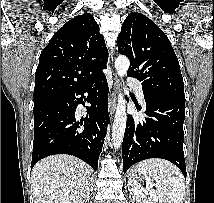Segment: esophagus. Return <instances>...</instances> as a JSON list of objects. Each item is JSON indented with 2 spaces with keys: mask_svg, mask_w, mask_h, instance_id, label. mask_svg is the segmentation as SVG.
<instances>
[{
  "mask_svg": "<svg viewBox=\"0 0 214 203\" xmlns=\"http://www.w3.org/2000/svg\"><path fill=\"white\" fill-rule=\"evenodd\" d=\"M119 88V80L117 76L113 77V90L112 93L109 97V102H108V107H109V112L111 115H113L115 111V106H116V94Z\"/></svg>",
  "mask_w": 214,
  "mask_h": 203,
  "instance_id": "esophagus-1",
  "label": "esophagus"
}]
</instances>
